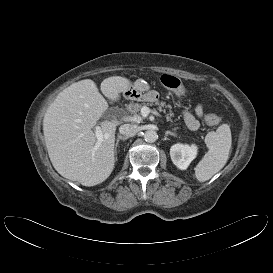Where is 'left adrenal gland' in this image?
<instances>
[{
	"label": "left adrenal gland",
	"mask_w": 273,
	"mask_h": 273,
	"mask_svg": "<svg viewBox=\"0 0 273 273\" xmlns=\"http://www.w3.org/2000/svg\"><path fill=\"white\" fill-rule=\"evenodd\" d=\"M168 135L176 136L175 133H173V132H171V131H166V132H165V136H168Z\"/></svg>",
	"instance_id": "obj_1"
}]
</instances>
